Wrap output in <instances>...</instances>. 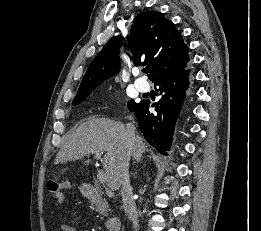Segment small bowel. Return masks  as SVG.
<instances>
[{
	"instance_id": "1",
	"label": "small bowel",
	"mask_w": 261,
	"mask_h": 231,
	"mask_svg": "<svg viewBox=\"0 0 261 231\" xmlns=\"http://www.w3.org/2000/svg\"><path fill=\"white\" fill-rule=\"evenodd\" d=\"M61 230H62V231H76L75 228H74V226L69 225V224H63V225L61 226ZM86 231H87V230H86Z\"/></svg>"
}]
</instances>
